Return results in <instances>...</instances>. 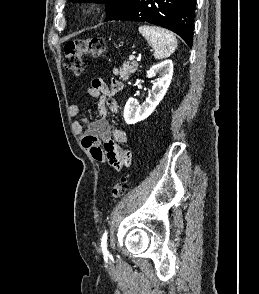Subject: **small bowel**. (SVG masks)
<instances>
[{"label": "small bowel", "mask_w": 259, "mask_h": 294, "mask_svg": "<svg viewBox=\"0 0 259 294\" xmlns=\"http://www.w3.org/2000/svg\"><path fill=\"white\" fill-rule=\"evenodd\" d=\"M122 88L119 80H112L108 85L103 79H93L87 92L91 97L98 98L99 118L77 119L72 125L74 133L91 156L97 162L108 163L117 171L132 163V152L124 145L127 142L125 132L112 126L107 119L109 112H118L114 95ZM68 113L71 117L78 116V105H70Z\"/></svg>", "instance_id": "c3829d8e"}]
</instances>
